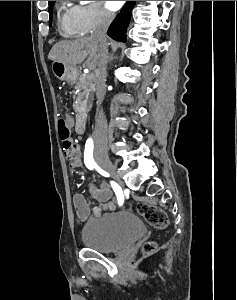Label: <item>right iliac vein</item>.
I'll return each mask as SVG.
<instances>
[{"mask_svg":"<svg viewBox=\"0 0 237 300\" xmlns=\"http://www.w3.org/2000/svg\"><path fill=\"white\" fill-rule=\"evenodd\" d=\"M95 158L97 163L108 173H110L114 178H118L116 167L111 162L106 148L104 147H97L95 151Z\"/></svg>","mask_w":237,"mask_h":300,"instance_id":"1","label":"right iliac vein"}]
</instances>
